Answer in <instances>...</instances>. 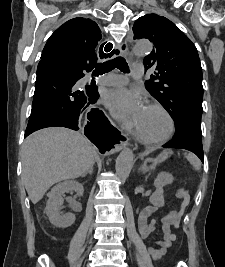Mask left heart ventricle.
Listing matches in <instances>:
<instances>
[{"label":"left heart ventricle","instance_id":"b2bd125f","mask_svg":"<svg viewBox=\"0 0 225 267\" xmlns=\"http://www.w3.org/2000/svg\"><path fill=\"white\" fill-rule=\"evenodd\" d=\"M141 132L149 139H162L170 131V122L166 115L157 109L144 108L137 123Z\"/></svg>","mask_w":225,"mask_h":267}]
</instances>
